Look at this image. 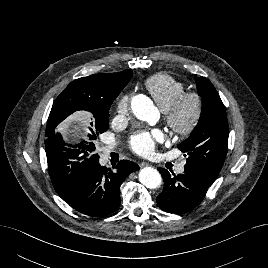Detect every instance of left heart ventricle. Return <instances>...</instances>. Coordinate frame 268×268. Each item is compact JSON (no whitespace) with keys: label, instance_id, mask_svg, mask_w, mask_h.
<instances>
[{"label":"left heart ventricle","instance_id":"b2bd125f","mask_svg":"<svg viewBox=\"0 0 268 268\" xmlns=\"http://www.w3.org/2000/svg\"><path fill=\"white\" fill-rule=\"evenodd\" d=\"M191 109H192V103L189 102L186 104L184 108V111H183L184 117H186L191 112Z\"/></svg>","mask_w":268,"mask_h":268}]
</instances>
